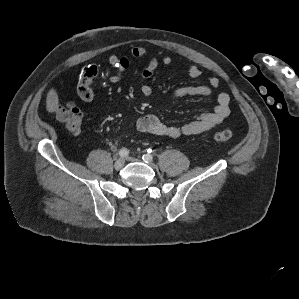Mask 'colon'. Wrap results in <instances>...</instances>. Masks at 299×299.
Wrapping results in <instances>:
<instances>
[{
    "mask_svg": "<svg viewBox=\"0 0 299 299\" xmlns=\"http://www.w3.org/2000/svg\"><path fill=\"white\" fill-rule=\"evenodd\" d=\"M57 120L72 134L78 135L81 131L83 113L75 104L67 103L60 105L55 109ZM213 138L216 141H229L233 138L231 130H218L213 133Z\"/></svg>",
    "mask_w": 299,
    "mask_h": 299,
    "instance_id": "obj_1",
    "label": "colon"
}]
</instances>
